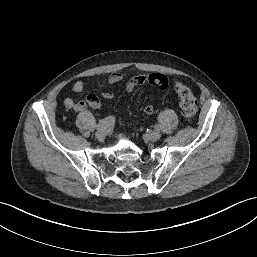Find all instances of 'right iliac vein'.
I'll return each mask as SVG.
<instances>
[{"label": "right iliac vein", "mask_w": 257, "mask_h": 257, "mask_svg": "<svg viewBox=\"0 0 257 257\" xmlns=\"http://www.w3.org/2000/svg\"><path fill=\"white\" fill-rule=\"evenodd\" d=\"M95 136L98 140H103L106 136V129L97 130Z\"/></svg>", "instance_id": "right-iliac-vein-1"}]
</instances>
